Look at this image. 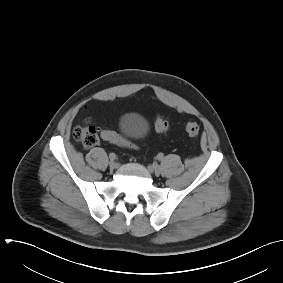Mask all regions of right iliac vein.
<instances>
[{
  "label": "right iliac vein",
  "instance_id": "1",
  "mask_svg": "<svg viewBox=\"0 0 283 283\" xmlns=\"http://www.w3.org/2000/svg\"><path fill=\"white\" fill-rule=\"evenodd\" d=\"M109 167L111 170H114L117 167V163L111 160L109 163Z\"/></svg>",
  "mask_w": 283,
  "mask_h": 283
}]
</instances>
